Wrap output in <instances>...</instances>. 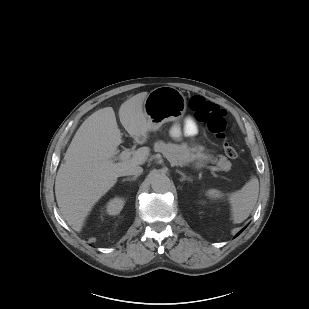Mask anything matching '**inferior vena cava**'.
I'll use <instances>...</instances> for the list:
<instances>
[{"mask_svg": "<svg viewBox=\"0 0 309 309\" xmlns=\"http://www.w3.org/2000/svg\"><path fill=\"white\" fill-rule=\"evenodd\" d=\"M143 172L142 167L140 166H131L123 169L120 173V176H128V175H135L139 176Z\"/></svg>", "mask_w": 309, "mask_h": 309, "instance_id": "1", "label": "inferior vena cava"}]
</instances>
